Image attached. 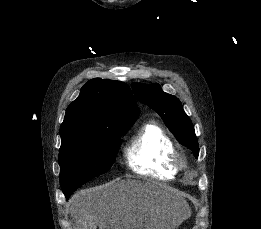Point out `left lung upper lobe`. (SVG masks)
<instances>
[{"label": "left lung upper lobe", "instance_id": "left-lung-upper-lobe-1", "mask_svg": "<svg viewBox=\"0 0 261 229\" xmlns=\"http://www.w3.org/2000/svg\"><path fill=\"white\" fill-rule=\"evenodd\" d=\"M132 89L138 101L156 111L176 139L198 158L199 145L194 126L179 99L163 92L158 84L133 83Z\"/></svg>", "mask_w": 261, "mask_h": 229}]
</instances>
